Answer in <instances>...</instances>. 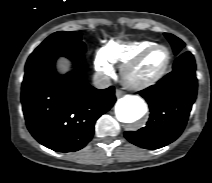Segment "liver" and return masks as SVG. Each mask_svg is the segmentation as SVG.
Masks as SVG:
<instances>
[{
    "label": "liver",
    "instance_id": "6515ba94",
    "mask_svg": "<svg viewBox=\"0 0 212 183\" xmlns=\"http://www.w3.org/2000/svg\"><path fill=\"white\" fill-rule=\"evenodd\" d=\"M65 64L63 62H59L58 63V69L60 71V73H64L65 72Z\"/></svg>",
    "mask_w": 212,
    "mask_h": 183
}]
</instances>
